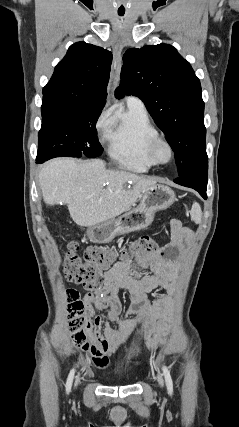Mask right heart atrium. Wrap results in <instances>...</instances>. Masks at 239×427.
<instances>
[{"label":"right heart atrium","mask_w":239,"mask_h":427,"mask_svg":"<svg viewBox=\"0 0 239 427\" xmlns=\"http://www.w3.org/2000/svg\"><path fill=\"white\" fill-rule=\"evenodd\" d=\"M110 119H109V112H104L100 115L96 122V128L99 132H102L105 134L109 127Z\"/></svg>","instance_id":"obj_1"}]
</instances>
